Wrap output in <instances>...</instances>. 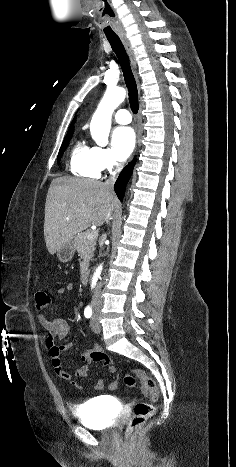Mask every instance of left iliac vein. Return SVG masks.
<instances>
[{"label":"left iliac vein","mask_w":236,"mask_h":467,"mask_svg":"<svg viewBox=\"0 0 236 467\" xmlns=\"http://www.w3.org/2000/svg\"><path fill=\"white\" fill-rule=\"evenodd\" d=\"M91 329L94 333H99L101 331V326L98 319V314L94 313L90 321Z\"/></svg>","instance_id":"obj_1"}]
</instances>
